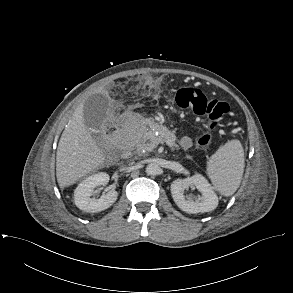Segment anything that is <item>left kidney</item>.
<instances>
[{
	"mask_svg": "<svg viewBox=\"0 0 293 293\" xmlns=\"http://www.w3.org/2000/svg\"><path fill=\"white\" fill-rule=\"evenodd\" d=\"M195 186L202 194V201H194L185 197L184 191ZM171 194L176 205L187 213H204L214 210L218 205V196L207 179L201 174H195L185 179H176L171 184Z\"/></svg>",
	"mask_w": 293,
	"mask_h": 293,
	"instance_id": "obj_1",
	"label": "left kidney"
}]
</instances>
